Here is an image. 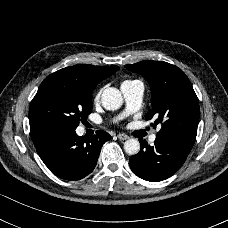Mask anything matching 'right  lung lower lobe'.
Masks as SVG:
<instances>
[{
	"label": "right lung lower lobe",
	"instance_id": "1",
	"mask_svg": "<svg viewBox=\"0 0 228 228\" xmlns=\"http://www.w3.org/2000/svg\"><path fill=\"white\" fill-rule=\"evenodd\" d=\"M75 129L54 127L31 133L44 164L59 178L70 181L82 179L93 171L102 145L111 139L102 130L91 137H80Z\"/></svg>",
	"mask_w": 228,
	"mask_h": 228
}]
</instances>
